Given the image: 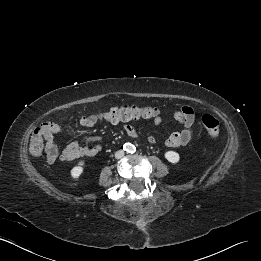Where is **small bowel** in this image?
I'll list each match as a JSON object with an SVG mask.
<instances>
[{
  "label": "small bowel",
  "mask_w": 261,
  "mask_h": 261,
  "mask_svg": "<svg viewBox=\"0 0 261 261\" xmlns=\"http://www.w3.org/2000/svg\"><path fill=\"white\" fill-rule=\"evenodd\" d=\"M173 118L179 122L181 129L170 133L166 140V145L170 148L185 146L193 139V126L195 122L194 111L189 106H183L173 112ZM98 122L99 117L95 114L84 116L79 120L80 126L86 128L93 127ZM119 122L121 121L110 123L118 124ZM153 122L155 125H159L161 123V118L154 117ZM45 126L48 129V133L46 135L45 151L47 161L49 163H54L57 159H60L61 161H71L81 157H93L101 150L99 145L81 146L77 142H71L59 154L58 147L53 141V135L57 133H63L67 131V128L51 122L45 123ZM124 130L130 136L136 135V129L131 125H125ZM97 140H99V137L96 136H90L84 139L85 142H93ZM148 141L149 143L153 144L156 142V138L152 135L148 136Z\"/></svg>",
  "instance_id": "small-bowel-1"
}]
</instances>
